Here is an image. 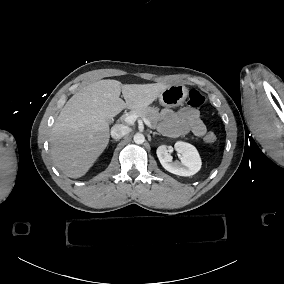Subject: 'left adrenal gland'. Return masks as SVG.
<instances>
[{"mask_svg": "<svg viewBox=\"0 0 284 284\" xmlns=\"http://www.w3.org/2000/svg\"><path fill=\"white\" fill-rule=\"evenodd\" d=\"M155 135H161L160 133H157V132H153V136Z\"/></svg>", "mask_w": 284, "mask_h": 284, "instance_id": "a2214340", "label": "left adrenal gland"}]
</instances>
